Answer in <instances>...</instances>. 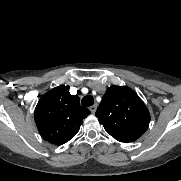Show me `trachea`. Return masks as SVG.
Masks as SVG:
<instances>
[{
	"label": "trachea",
	"mask_w": 181,
	"mask_h": 181,
	"mask_svg": "<svg viewBox=\"0 0 181 181\" xmlns=\"http://www.w3.org/2000/svg\"><path fill=\"white\" fill-rule=\"evenodd\" d=\"M82 106H92L94 104V98L91 95H87L81 100Z\"/></svg>",
	"instance_id": "3493384b"
}]
</instances>
